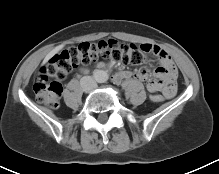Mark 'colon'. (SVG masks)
<instances>
[{"label": "colon", "instance_id": "1", "mask_svg": "<svg viewBox=\"0 0 219 174\" xmlns=\"http://www.w3.org/2000/svg\"><path fill=\"white\" fill-rule=\"evenodd\" d=\"M99 59H107L125 65L139 66L146 61V52L134 44H122L116 40H103L97 43L84 42L55 54L41 67L33 83L36 99L49 108L59 106L63 81L80 65H89ZM151 101L161 103L164 96L151 93Z\"/></svg>", "mask_w": 219, "mask_h": 174}]
</instances>
